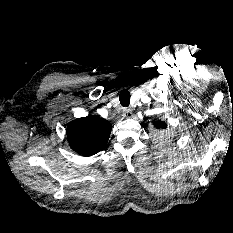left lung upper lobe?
Masks as SVG:
<instances>
[{
  "label": "left lung upper lobe",
  "mask_w": 233,
  "mask_h": 233,
  "mask_svg": "<svg viewBox=\"0 0 233 233\" xmlns=\"http://www.w3.org/2000/svg\"><path fill=\"white\" fill-rule=\"evenodd\" d=\"M157 129H165L167 124L163 121H156L153 123Z\"/></svg>",
  "instance_id": "obj_1"
}]
</instances>
